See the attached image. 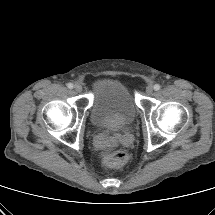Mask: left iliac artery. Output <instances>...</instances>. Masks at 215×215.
Here are the masks:
<instances>
[{
	"label": "left iliac artery",
	"mask_w": 215,
	"mask_h": 215,
	"mask_svg": "<svg viewBox=\"0 0 215 215\" xmlns=\"http://www.w3.org/2000/svg\"><path fill=\"white\" fill-rule=\"evenodd\" d=\"M161 86L159 84H155L154 85V90L158 91L160 90Z\"/></svg>",
	"instance_id": "1"
}]
</instances>
